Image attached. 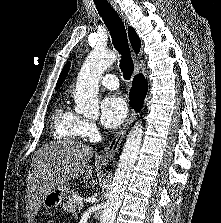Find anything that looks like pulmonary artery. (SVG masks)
Returning <instances> with one entry per match:
<instances>
[{"instance_id":"obj_1","label":"pulmonary artery","mask_w":221,"mask_h":223,"mask_svg":"<svg viewBox=\"0 0 221 223\" xmlns=\"http://www.w3.org/2000/svg\"><path fill=\"white\" fill-rule=\"evenodd\" d=\"M100 83L103 87L110 90H115L119 87L118 78L114 74L103 75Z\"/></svg>"}]
</instances>
